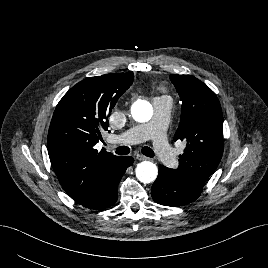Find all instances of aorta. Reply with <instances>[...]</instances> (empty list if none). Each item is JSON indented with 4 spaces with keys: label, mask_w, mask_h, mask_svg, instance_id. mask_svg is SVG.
I'll list each match as a JSON object with an SVG mask.
<instances>
[{
    "label": "aorta",
    "mask_w": 268,
    "mask_h": 268,
    "mask_svg": "<svg viewBox=\"0 0 268 268\" xmlns=\"http://www.w3.org/2000/svg\"><path fill=\"white\" fill-rule=\"evenodd\" d=\"M131 115L137 122H148L153 115V107L146 100H137L131 107ZM136 177L144 184L153 182L158 175L157 166L150 161H143L136 167Z\"/></svg>",
    "instance_id": "762f6f07"
}]
</instances>
